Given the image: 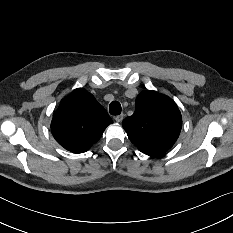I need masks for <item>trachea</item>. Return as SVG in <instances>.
I'll use <instances>...</instances> for the list:
<instances>
[{
    "mask_svg": "<svg viewBox=\"0 0 233 233\" xmlns=\"http://www.w3.org/2000/svg\"><path fill=\"white\" fill-rule=\"evenodd\" d=\"M122 111L121 105L118 101H112L109 105V112L111 115H119Z\"/></svg>",
    "mask_w": 233,
    "mask_h": 233,
    "instance_id": "trachea-1",
    "label": "trachea"
}]
</instances>
